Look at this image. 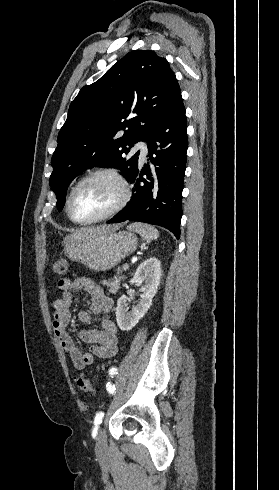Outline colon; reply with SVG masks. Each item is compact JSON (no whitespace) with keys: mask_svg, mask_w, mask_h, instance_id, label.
Returning a JSON list of instances; mask_svg holds the SVG:
<instances>
[{"mask_svg":"<svg viewBox=\"0 0 279 490\" xmlns=\"http://www.w3.org/2000/svg\"><path fill=\"white\" fill-rule=\"evenodd\" d=\"M53 273L64 276L67 273L68 261L66 258H59L54 260L51 264ZM76 385L80 393L91 396L94 391L93 381L86 376H79L76 378Z\"/></svg>","mask_w":279,"mask_h":490,"instance_id":"obj_1","label":"colon"}]
</instances>
